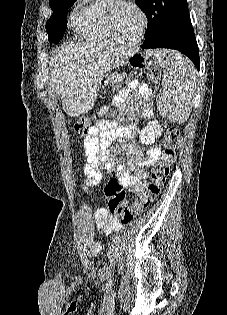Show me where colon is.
I'll list each match as a JSON object with an SVG mask.
<instances>
[{
    "label": "colon",
    "instance_id": "obj_1",
    "mask_svg": "<svg viewBox=\"0 0 227 315\" xmlns=\"http://www.w3.org/2000/svg\"><path fill=\"white\" fill-rule=\"evenodd\" d=\"M132 66L149 71L150 79L154 83L160 81V70L149 60L137 56L132 60ZM91 128V119L88 116L79 117L74 123V131L77 135L85 137ZM180 142V132L177 128L170 127L166 130L160 159L154 164L150 178L143 188L137 191L133 202L126 201V191L116 180L107 182L104 193L108 199V210L122 225L128 224L132 219L148 208L153 200L160 194L169 174L170 168L177 158V149Z\"/></svg>",
    "mask_w": 227,
    "mask_h": 315
}]
</instances>
